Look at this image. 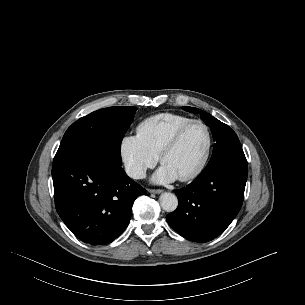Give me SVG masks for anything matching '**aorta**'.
I'll return each mask as SVG.
<instances>
[{
    "mask_svg": "<svg viewBox=\"0 0 305 305\" xmlns=\"http://www.w3.org/2000/svg\"><path fill=\"white\" fill-rule=\"evenodd\" d=\"M161 207L167 212H173L178 206V199L175 194L165 192L159 197Z\"/></svg>",
    "mask_w": 305,
    "mask_h": 305,
    "instance_id": "762f6f07",
    "label": "aorta"
}]
</instances>
